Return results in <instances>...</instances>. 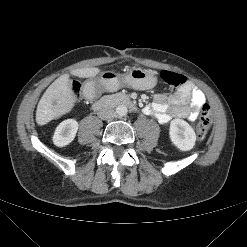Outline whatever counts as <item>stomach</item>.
<instances>
[{
  "instance_id": "obj_1",
  "label": "stomach",
  "mask_w": 247,
  "mask_h": 247,
  "mask_svg": "<svg viewBox=\"0 0 247 247\" xmlns=\"http://www.w3.org/2000/svg\"><path fill=\"white\" fill-rule=\"evenodd\" d=\"M99 80L106 85L111 81L120 80L127 86L137 90L151 89L156 85V78L154 75L141 68H132L121 77L112 72H105L101 75Z\"/></svg>"
}]
</instances>
